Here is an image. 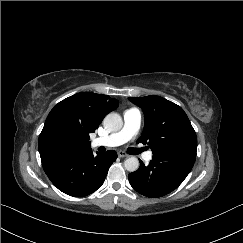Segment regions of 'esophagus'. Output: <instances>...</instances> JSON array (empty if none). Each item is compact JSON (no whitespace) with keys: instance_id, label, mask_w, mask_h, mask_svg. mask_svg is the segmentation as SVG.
I'll return each instance as SVG.
<instances>
[{"instance_id":"esophagus-1","label":"esophagus","mask_w":243,"mask_h":243,"mask_svg":"<svg viewBox=\"0 0 243 243\" xmlns=\"http://www.w3.org/2000/svg\"><path fill=\"white\" fill-rule=\"evenodd\" d=\"M118 156L120 157V158H125V157H128V154L127 153H125L124 151H118Z\"/></svg>"}]
</instances>
